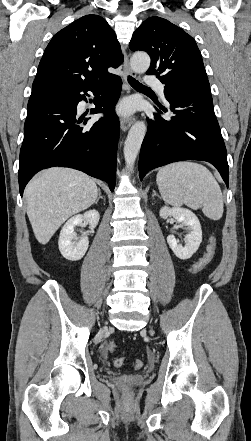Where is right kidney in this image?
I'll return each instance as SVG.
<instances>
[{
  "label": "right kidney",
  "mask_w": 251,
  "mask_h": 441,
  "mask_svg": "<svg viewBox=\"0 0 251 441\" xmlns=\"http://www.w3.org/2000/svg\"><path fill=\"white\" fill-rule=\"evenodd\" d=\"M100 219L99 212L97 210H89L84 214H78L70 218L62 227L59 236V250L64 258L70 261H78L85 255L89 240L86 235L78 239L77 234L74 232V227L86 221L90 229H94Z\"/></svg>",
  "instance_id": "ca27d5eb"
}]
</instances>
